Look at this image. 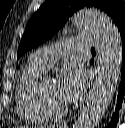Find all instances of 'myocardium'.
Wrapping results in <instances>:
<instances>
[{
    "label": "myocardium",
    "instance_id": "obj_1",
    "mask_svg": "<svg viewBox=\"0 0 125 128\" xmlns=\"http://www.w3.org/2000/svg\"><path fill=\"white\" fill-rule=\"evenodd\" d=\"M50 76L46 75L39 79L36 85V96L41 108L51 117H60L69 111L68 105H56L52 103L46 96L44 91V83Z\"/></svg>",
    "mask_w": 125,
    "mask_h": 128
}]
</instances>
